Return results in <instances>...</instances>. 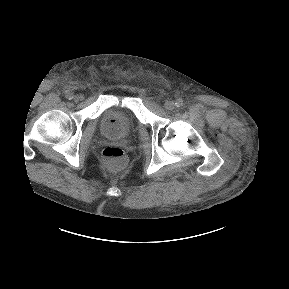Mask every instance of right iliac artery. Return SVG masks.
<instances>
[{"label": "right iliac artery", "instance_id": "1", "mask_svg": "<svg viewBox=\"0 0 289 289\" xmlns=\"http://www.w3.org/2000/svg\"><path fill=\"white\" fill-rule=\"evenodd\" d=\"M66 98L69 99V100H71V99L73 98L72 93L67 92V93H66Z\"/></svg>", "mask_w": 289, "mask_h": 289}]
</instances>
